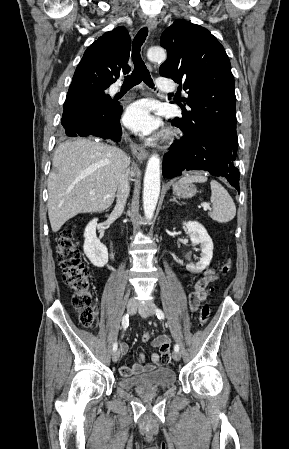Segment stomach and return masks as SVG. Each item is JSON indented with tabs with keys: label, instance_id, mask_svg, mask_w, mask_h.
<instances>
[{
	"label": "stomach",
	"instance_id": "1",
	"mask_svg": "<svg viewBox=\"0 0 289 449\" xmlns=\"http://www.w3.org/2000/svg\"><path fill=\"white\" fill-rule=\"evenodd\" d=\"M196 192L197 189L192 183L177 182L173 185V193L180 198H191Z\"/></svg>",
	"mask_w": 289,
	"mask_h": 449
}]
</instances>
